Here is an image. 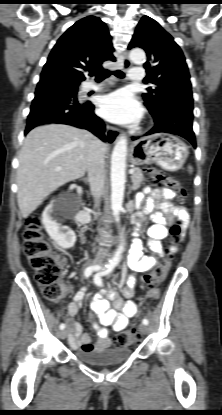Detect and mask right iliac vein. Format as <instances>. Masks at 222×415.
<instances>
[{
  "mask_svg": "<svg viewBox=\"0 0 222 415\" xmlns=\"http://www.w3.org/2000/svg\"><path fill=\"white\" fill-rule=\"evenodd\" d=\"M67 334H68V330L67 329L60 331V337L62 339H65L66 336H67Z\"/></svg>",
  "mask_w": 222,
  "mask_h": 415,
  "instance_id": "63e3f726",
  "label": "right iliac vein"
}]
</instances>
